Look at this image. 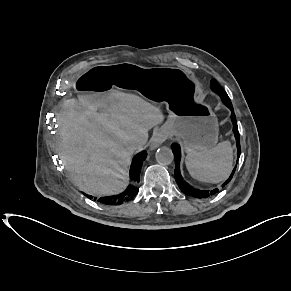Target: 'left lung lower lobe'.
Wrapping results in <instances>:
<instances>
[{
	"label": "left lung lower lobe",
	"mask_w": 291,
	"mask_h": 291,
	"mask_svg": "<svg viewBox=\"0 0 291 291\" xmlns=\"http://www.w3.org/2000/svg\"><path fill=\"white\" fill-rule=\"evenodd\" d=\"M219 96L221 97L223 103L232 111L231 120L233 122V132H234V135L236 138V146L238 149L237 155H238V159H239V156H240V138H239L238 126H237L233 106H232V103H231L227 94L221 93V94H219ZM171 147L173 149V153H174V157H175V172H174L175 173V180H176L179 188L181 189V191L184 194H186L187 196H193V197L201 199V198H208V197L216 194L219 191L218 188H215L213 190H199V189H196V188L192 187L191 185H189L183 179V177L181 176V173H180V167H179L180 157H181L180 146H179V144L174 143V144H172ZM237 162H238V160H237ZM235 169L236 168H234V170L232 171L230 177L226 180V182L223 183L222 187H224L227 183L230 182V180L232 179L233 174L235 172Z\"/></svg>",
	"instance_id": "1"
}]
</instances>
